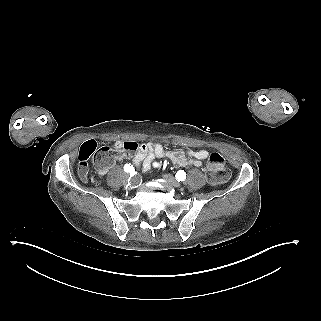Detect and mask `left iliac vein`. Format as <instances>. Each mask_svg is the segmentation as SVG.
Masks as SVG:
<instances>
[{
    "mask_svg": "<svg viewBox=\"0 0 321 321\" xmlns=\"http://www.w3.org/2000/svg\"><path fill=\"white\" fill-rule=\"evenodd\" d=\"M163 178L170 183L172 186L179 188L181 187V183L172 175L170 174H164Z\"/></svg>",
    "mask_w": 321,
    "mask_h": 321,
    "instance_id": "left-iliac-vein-1",
    "label": "left iliac vein"
}]
</instances>
